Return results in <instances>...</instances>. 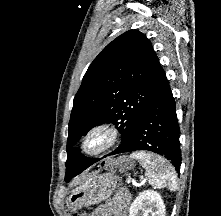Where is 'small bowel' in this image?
I'll return each mask as SVG.
<instances>
[{
  "instance_id": "c3829d8e",
  "label": "small bowel",
  "mask_w": 221,
  "mask_h": 216,
  "mask_svg": "<svg viewBox=\"0 0 221 216\" xmlns=\"http://www.w3.org/2000/svg\"><path fill=\"white\" fill-rule=\"evenodd\" d=\"M129 202L130 197L127 190H119L112 199L95 208L90 216H126Z\"/></svg>"
}]
</instances>
